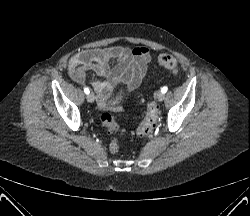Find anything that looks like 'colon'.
<instances>
[{
  "mask_svg": "<svg viewBox=\"0 0 250 216\" xmlns=\"http://www.w3.org/2000/svg\"><path fill=\"white\" fill-rule=\"evenodd\" d=\"M158 64L161 67L170 70L174 75H178L180 73V69L176 59L169 53H161L158 56ZM157 117V106L154 102L147 101L145 114L131 134L138 137L150 134L156 126ZM101 122L110 134L114 135L116 133H120L119 126L117 125L111 114L103 113L101 115ZM109 150L113 154H116L119 151V143L117 138L114 137L111 140Z\"/></svg>",
  "mask_w": 250,
  "mask_h": 216,
  "instance_id": "obj_1",
  "label": "colon"
}]
</instances>
